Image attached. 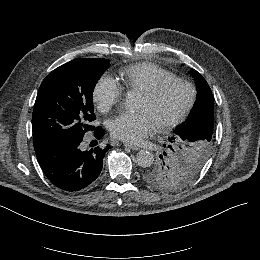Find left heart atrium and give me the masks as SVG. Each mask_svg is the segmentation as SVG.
<instances>
[{
	"mask_svg": "<svg viewBox=\"0 0 260 260\" xmlns=\"http://www.w3.org/2000/svg\"><path fill=\"white\" fill-rule=\"evenodd\" d=\"M155 129L156 125L145 109L136 113H122L110 124L111 134L128 143L140 142L151 135Z\"/></svg>",
	"mask_w": 260,
	"mask_h": 260,
	"instance_id": "39dd6f15",
	"label": "left heart atrium"
}]
</instances>
